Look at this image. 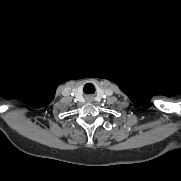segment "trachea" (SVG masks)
Returning <instances> with one entry per match:
<instances>
[{
    "instance_id": "trachea-1",
    "label": "trachea",
    "mask_w": 181,
    "mask_h": 181,
    "mask_svg": "<svg viewBox=\"0 0 181 181\" xmlns=\"http://www.w3.org/2000/svg\"><path fill=\"white\" fill-rule=\"evenodd\" d=\"M88 87H93V85H92V84H89V83L86 84L85 87H84V91H85Z\"/></svg>"
}]
</instances>
